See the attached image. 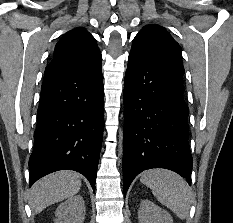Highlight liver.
Returning a JSON list of instances; mask_svg holds the SVG:
<instances>
[{"label":"liver","instance_id":"1","mask_svg":"<svg viewBox=\"0 0 233 223\" xmlns=\"http://www.w3.org/2000/svg\"><path fill=\"white\" fill-rule=\"evenodd\" d=\"M81 179L76 171H55L45 175L34 183L30 189L29 201L35 213H40L42 209L72 197L78 193L81 187Z\"/></svg>","mask_w":233,"mask_h":223}]
</instances>
